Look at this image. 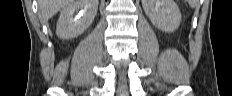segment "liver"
I'll return each instance as SVG.
<instances>
[{"mask_svg":"<svg viewBox=\"0 0 232 96\" xmlns=\"http://www.w3.org/2000/svg\"><path fill=\"white\" fill-rule=\"evenodd\" d=\"M71 0H38L39 17L43 22H47Z\"/></svg>","mask_w":232,"mask_h":96,"instance_id":"6515ba94","label":"liver"}]
</instances>
